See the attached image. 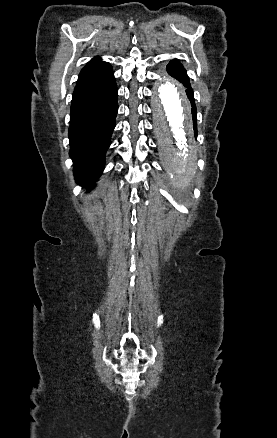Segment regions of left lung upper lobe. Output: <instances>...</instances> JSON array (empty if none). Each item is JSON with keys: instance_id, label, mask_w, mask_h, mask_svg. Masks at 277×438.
I'll use <instances>...</instances> for the list:
<instances>
[{"instance_id": "5c2ea615", "label": "left lung upper lobe", "mask_w": 277, "mask_h": 438, "mask_svg": "<svg viewBox=\"0 0 277 438\" xmlns=\"http://www.w3.org/2000/svg\"><path fill=\"white\" fill-rule=\"evenodd\" d=\"M166 69H167V72L171 76H173L176 79H178L180 82L183 83V85L185 87L188 88L186 90V93H187L189 99L191 100L192 106H194V104H193V101H194L193 91H192L191 85L189 83V77L187 75L186 70L183 68V66L179 63L178 60L174 59V60H171L169 62V64L167 65ZM193 110L195 111V108H193Z\"/></svg>"}]
</instances>
